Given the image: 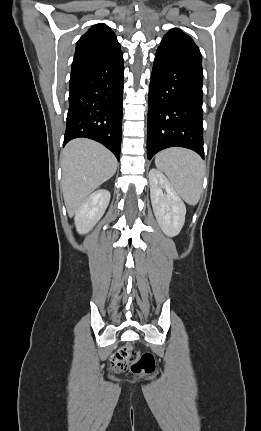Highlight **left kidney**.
<instances>
[{"mask_svg":"<svg viewBox=\"0 0 261 431\" xmlns=\"http://www.w3.org/2000/svg\"><path fill=\"white\" fill-rule=\"evenodd\" d=\"M149 183L151 203L159 226L167 236L178 235L185 222L184 202L159 170H150Z\"/></svg>","mask_w":261,"mask_h":431,"instance_id":"obj_1","label":"left kidney"}]
</instances>
